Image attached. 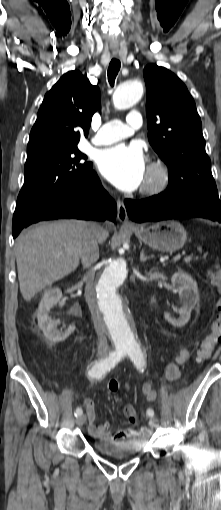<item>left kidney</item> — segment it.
Returning a JSON list of instances; mask_svg holds the SVG:
<instances>
[{
	"label": "left kidney",
	"mask_w": 221,
	"mask_h": 510,
	"mask_svg": "<svg viewBox=\"0 0 221 510\" xmlns=\"http://www.w3.org/2000/svg\"><path fill=\"white\" fill-rule=\"evenodd\" d=\"M171 281L174 286L178 285L181 304V307L178 308L179 318L173 319L168 314H165L164 318L171 325L182 327L189 321L192 309L199 302L198 287L196 281L183 271L174 273Z\"/></svg>",
	"instance_id": "1"
}]
</instances>
